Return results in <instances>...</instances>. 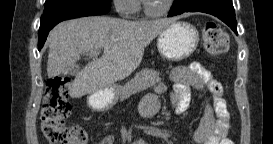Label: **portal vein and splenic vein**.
Segmentation results:
<instances>
[{"label": "portal vein and splenic vein", "mask_w": 273, "mask_h": 144, "mask_svg": "<svg viewBox=\"0 0 273 144\" xmlns=\"http://www.w3.org/2000/svg\"><path fill=\"white\" fill-rule=\"evenodd\" d=\"M99 53H100L99 51H97V52H92V53L89 54V56H90L91 58H93V59H96V58L98 57Z\"/></svg>", "instance_id": "18ae733b"}]
</instances>
